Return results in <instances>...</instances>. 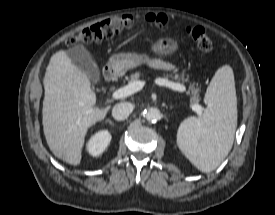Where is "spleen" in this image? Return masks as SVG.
<instances>
[{"label":"spleen","mask_w":275,"mask_h":215,"mask_svg":"<svg viewBox=\"0 0 275 215\" xmlns=\"http://www.w3.org/2000/svg\"><path fill=\"white\" fill-rule=\"evenodd\" d=\"M207 109L200 117H189L179 126L177 144L202 172L216 169L232 148L237 127V98L233 70L220 67L204 98Z\"/></svg>","instance_id":"1"}]
</instances>
